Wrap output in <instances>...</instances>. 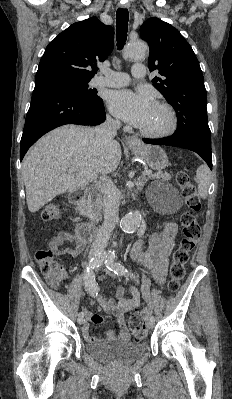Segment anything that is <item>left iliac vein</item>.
I'll list each match as a JSON object with an SVG mask.
<instances>
[{
  "label": "left iliac vein",
  "mask_w": 232,
  "mask_h": 399,
  "mask_svg": "<svg viewBox=\"0 0 232 399\" xmlns=\"http://www.w3.org/2000/svg\"><path fill=\"white\" fill-rule=\"evenodd\" d=\"M97 271H100V268H97ZM106 272H109V269H106ZM108 276H109V277H112V276H113V273H112V272H109V273H108ZM147 328H154V322H153V321H150L149 323H147Z\"/></svg>",
  "instance_id": "1"
}]
</instances>
